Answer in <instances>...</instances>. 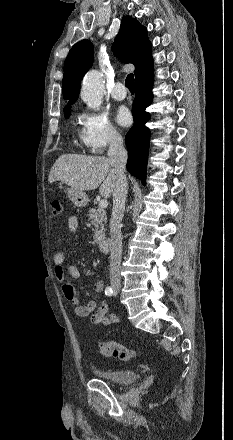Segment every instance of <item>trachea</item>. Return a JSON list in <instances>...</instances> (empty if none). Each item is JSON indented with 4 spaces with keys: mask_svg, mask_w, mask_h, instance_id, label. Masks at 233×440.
<instances>
[{
    "mask_svg": "<svg viewBox=\"0 0 233 440\" xmlns=\"http://www.w3.org/2000/svg\"><path fill=\"white\" fill-rule=\"evenodd\" d=\"M125 86L131 91H134V75L129 74L125 80Z\"/></svg>",
    "mask_w": 233,
    "mask_h": 440,
    "instance_id": "obj_1",
    "label": "trachea"
}]
</instances>
